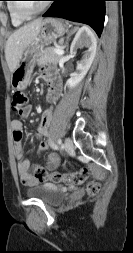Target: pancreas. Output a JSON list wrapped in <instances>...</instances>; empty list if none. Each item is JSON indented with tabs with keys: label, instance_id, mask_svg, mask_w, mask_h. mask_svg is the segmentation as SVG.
I'll use <instances>...</instances> for the list:
<instances>
[{
	"label": "pancreas",
	"instance_id": "obj_1",
	"mask_svg": "<svg viewBox=\"0 0 133 253\" xmlns=\"http://www.w3.org/2000/svg\"><path fill=\"white\" fill-rule=\"evenodd\" d=\"M61 59V55L55 53L54 48L41 49L38 53L37 63L42 65L45 63L57 64Z\"/></svg>",
	"mask_w": 133,
	"mask_h": 253
}]
</instances>
